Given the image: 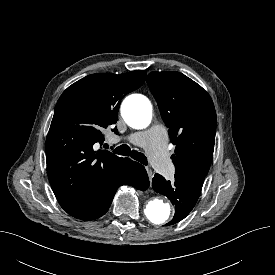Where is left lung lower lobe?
Here are the masks:
<instances>
[{
	"label": "left lung lower lobe",
	"instance_id": "1",
	"mask_svg": "<svg viewBox=\"0 0 275 275\" xmlns=\"http://www.w3.org/2000/svg\"><path fill=\"white\" fill-rule=\"evenodd\" d=\"M203 183L196 180L174 175L172 181H167L163 176L155 174L152 182L153 189L168 197L175 205V215L167 224H175L184 219L195 206Z\"/></svg>",
	"mask_w": 275,
	"mask_h": 275
}]
</instances>
